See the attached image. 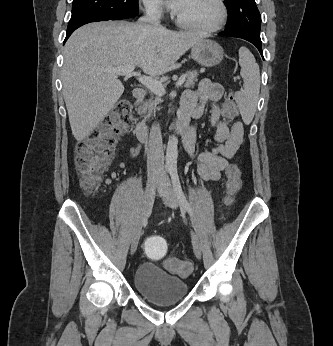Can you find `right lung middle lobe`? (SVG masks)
<instances>
[{"mask_svg": "<svg viewBox=\"0 0 333 346\" xmlns=\"http://www.w3.org/2000/svg\"><path fill=\"white\" fill-rule=\"evenodd\" d=\"M138 14V0H73L71 28L88 18L126 19Z\"/></svg>", "mask_w": 333, "mask_h": 346, "instance_id": "dd1d6c3e", "label": "right lung middle lobe"}]
</instances>
